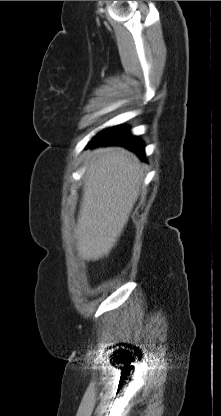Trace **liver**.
I'll return each instance as SVG.
<instances>
[{
  "label": "liver",
  "mask_w": 221,
  "mask_h": 416,
  "mask_svg": "<svg viewBox=\"0 0 221 416\" xmlns=\"http://www.w3.org/2000/svg\"><path fill=\"white\" fill-rule=\"evenodd\" d=\"M143 171L139 158L120 147L92 151L75 235L81 257L96 261L109 254L137 201Z\"/></svg>",
  "instance_id": "obj_1"
}]
</instances>
